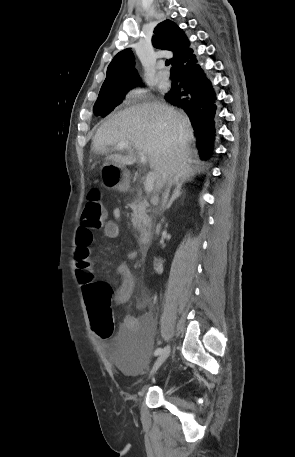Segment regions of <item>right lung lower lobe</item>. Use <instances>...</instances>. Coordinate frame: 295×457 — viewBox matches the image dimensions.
<instances>
[{
  "mask_svg": "<svg viewBox=\"0 0 295 457\" xmlns=\"http://www.w3.org/2000/svg\"><path fill=\"white\" fill-rule=\"evenodd\" d=\"M172 66L179 84L172 86L165 94V99L188 114L197 137V146L201 156L206 159L211 154L215 135V92L197 64L192 49L182 54Z\"/></svg>",
  "mask_w": 295,
  "mask_h": 457,
  "instance_id": "98d812e1",
  "label": "right lung lower lobe"
}]
</instances>
